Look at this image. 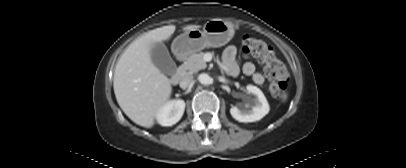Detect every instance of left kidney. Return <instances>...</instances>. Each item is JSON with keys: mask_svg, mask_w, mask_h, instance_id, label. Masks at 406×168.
Returning <instances> with one entry per match:
<instances>
[{"mask_svg": "<svg viewBox=\"0 0 406 168\" xmlns=\"http://www.w3.org/2000/svg\"><path fill=\"white\" fill-rule=\"evenodd\" d=\"M247 91L254 97L248 100L245 108L239 109L233 106L230 109L232 117L239 122H255L261 120L268 114L270 108L263 92L256 86L247 85Z\"/></svg>", "mask_w": 406, "mask_h": 168, "instance_id": "left-kidney-1", "label": "left kidney"}]
</instances>
